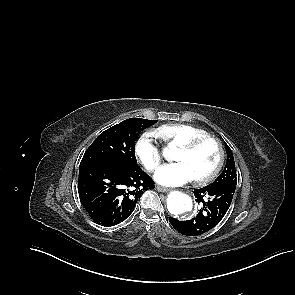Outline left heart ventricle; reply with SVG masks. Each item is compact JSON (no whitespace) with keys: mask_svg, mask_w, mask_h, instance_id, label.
Wrapping results in <instances>:
<instances>
[{"mask_svg":"<svg viewBox=\"0 0 295 295\" xmlns=\"http://www.w3.org/2000/svg\"><path fill=\"white\" fill-rule=\"evenodd\" d=\"M219 152L213 141H205L193 152L179 150L175 156L177 162H184L191 169L195 178L209 174L217 164Z\"/></svg>","mask_w":295,"mask_h":295,"instance_id":"obj_1","label":"left heart ventricle"}]
</instances>
